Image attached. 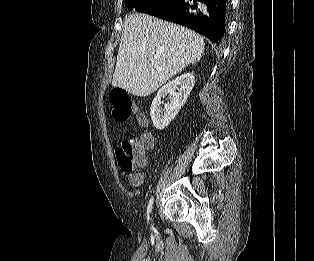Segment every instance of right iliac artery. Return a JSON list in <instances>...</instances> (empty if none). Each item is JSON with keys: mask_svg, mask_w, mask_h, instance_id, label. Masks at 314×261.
<instances>
[{"mask_svg": "<svg viewBox=\"0 0 314 261\" xmlns=\"http://www.w3.org/2000/svg\"><path fill=\"white\" fill-rule=\"evenodd\" d=\"M152 204H153V197H151L149 204H148V207H147V214L148 215L151 213Z\"/></svg>", "mask_w": 314, "mask_h": 261, "instance_id": "1", "label": "right iliac artery"}]
</instances>
